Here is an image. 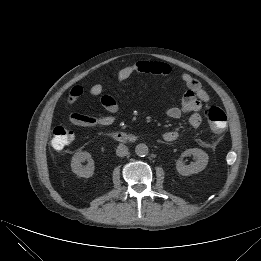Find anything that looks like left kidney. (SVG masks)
Here are the masks:
<instances>
[{
  "mask_svg": "<svg viewBox=\"0 0 261 261\" xmlns=\"http://www.w3.org/2000/svg\"><path fill=\"white\" fill-rule=\"evenodd\" d=\"M187 155H193L197 158L196 162H192L189 165H185L182 162V158L177 160L176 169L178 173L182 176H190L192 174H197L204 170L208 164V154L201 149L192 148L187 149L182 153V157Z\"/></svg>",
  "mask_w": 261,
  "mask_h": 261,
  "instance_id": "left-kidney-1",
  "label": "left kidney"
}]
</instances>
